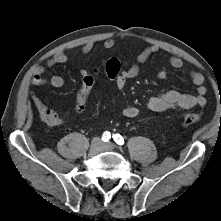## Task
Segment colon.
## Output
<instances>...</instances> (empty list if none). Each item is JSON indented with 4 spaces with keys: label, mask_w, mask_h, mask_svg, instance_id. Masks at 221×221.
Returning <instances> with one entry per match:
<instances>
[{
    "label": "colon",
    "mask_w": 221,
    "mask_h": 221,
    "mask_svg": "<svg viewBox=\"0 0 221 221\" xmlns=\"http://www.w3.org/2000/svg\"><path fill=\"white\" fill-rule=\"evenodd\" d=\"M121 73V66L115 59H108L104 65V74L108 80H115ZM95 77L93 74H88L83 78L81 88L77 95L76 108L82 111L87 103L90 91L94 85ZM203 117L202 112L198 113H185L182 116L184 125H193L198 123Z\"/></svg>",
    "instance_id": "5ec220e1"
}]
</instances>
